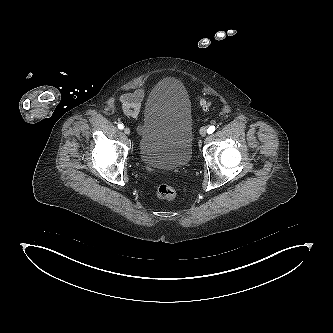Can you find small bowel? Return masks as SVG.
I'll use <instances>...</instances> for the list:
<instances>
[{
  "label": "small bowel",
  "mask_w": 333,
  "mask_h": 333,
  "mask_svg": "<svg viewBox=\"0 0 333 333\" xmlns=\"http://www.w3.org/2000/svg\"><path fill=\"white\" fill-rule=\"evenodd\" d=\"M144 92L142 89H138L134 92L124 94L120 97V103L125 115L136 118L139 115L141 108V101Z\"/></svg>",
  "instance_id": "c3829d8e"
}]
</instances>
